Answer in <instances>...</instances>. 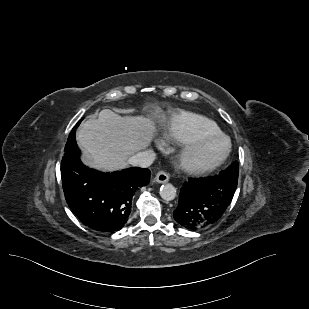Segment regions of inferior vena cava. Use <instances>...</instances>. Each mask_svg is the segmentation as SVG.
Instances as JSON below:
<instances>
[{
    "label": "inferior vena cava",
    "mask_w": 309,
    "mask_h": 309,
    "mask_svg": "<svg viewBox=\"0 0 309 309\" xmlns=\"http://www.w3.org/2000/svg\"><path fill=\"white\" fill-rule=\"evenodd\" d=\"M155 159V154L150 151L138 152L131 156L127 163L132 166L148 167Z\"/></svg>",
    "instance_id": "1"
}]
</instances>
